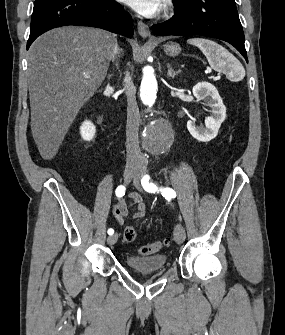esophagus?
Returning <instances> with one entry per match:
<instances>
[{"label": "esophagus", "mask_w": 285, "mask_h": 335, "mask_svg": "<svg viewBox=\"0 0 285 335\" xmlns=\"http://www.w3.org/2000/svg\"><path fill=\"white\" fill-rule=\"evenodd\" d=\"M137 30L141 37L147 38L150 37L151 40H154V37L151 36L149 27L142 21H138Z\"/></svg>", "instance_id": "1"}]
</instances>
